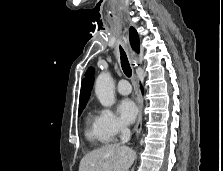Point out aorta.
<instances>
[{
	"label": "aorta",
	"mask_w": 223,
	"mask_h": 171,
	"mask_svg": "<svg viewBox=\"0 0 223 171\" xmlns=\"http://www.w3.org/2000/svg\"><path fill=\"white\" fill-rule=\"evenodd\" d=\"M113 80L109 73H101L95 81V94L104 107H111L115 102Z\"/></svg>",
	"instance_id": "762f6f07"
}]
</instances>
